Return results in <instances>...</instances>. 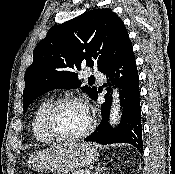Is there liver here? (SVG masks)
Instances as JSON below:
<instances>
[{
	"label": "liver",
	"mask_w": 175,
	"mask_h": 174,
	"mask_svg": "<svg viewBox=\"0 0 175 174\" xmlns=\"http://www.w3.org/2000/svg\"><path fill=\"white\" fill-rule=\"evenodd\" d=\"M66 145H72V144H66ZM57 146H59V145H57Z\"/></svg>",
	"instance_id": "6515ba94"
}]
</instances>
